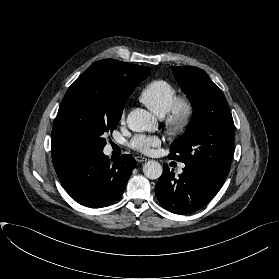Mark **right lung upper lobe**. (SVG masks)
<instances>
[{
  "mask_svg": "<svg viewBox=\"0 0 279 279\" xmlns=\"http://www.w3.org/2000/svg\"><path fill=\"white\" fill-rule=\"evenodd\" d=\"M95 72L100 74L93 86L95 93L101 94L104 85L115 86L119 91L136 87L150 74V68L121 62L115 59H104L92 64L84 73Z\"/></svg>",
  "mask_w": 279,
  "mask_h": 279,
  "instance_id": "obj_1",
  "label": "right lung upper lobe"
}]
</instances>
